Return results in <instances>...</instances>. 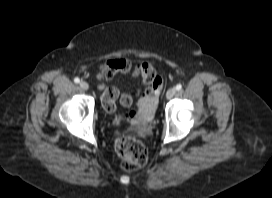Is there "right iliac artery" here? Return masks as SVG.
I'll return each mask as SVG.
<instances>
[{"instance_id":"1","label":"right iliac artery","mask_w":272,"mask_h":198,"mask_svg":"<svg viewBox=\"0 0 272 198\" xmlns=\"http://www.w3.org/2000/svg\"><path fill=\"white\" fill-rule=\"evenodd\" d=\"M74 82H75V83H79V82H80V79H79L78 77H76V78L74 79Z\"/></svg>"}]
</instances>
